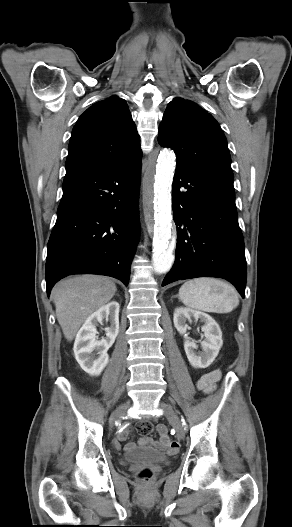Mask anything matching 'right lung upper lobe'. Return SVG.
<instances>
[{
  "label": "right lung upper lobe",
  "instance_id": "obj_1",
  "mask_svg": "<svg viewBox=\"0 0 292 527\" xmlns=\"http://www.w3.org/2000/svg\"><path fill=\"white\" fill-rule=\"evenodd\" d=\"M68 151L66 171L111 167L142 155L125 100L114 95L88 108L73 128Z\"/></svg>",
  "mask_w": 292,
  "mask_h": 527
}]
</instances>
